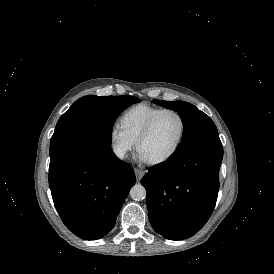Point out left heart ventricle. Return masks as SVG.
<instances>
[{"label":"left heart ventricle","mask_w":274,"mask_h":274,"mask_svg":"<svg viewBox=\"0 0 274 274\" xmlns=\"http://www.w3.org/2000/svg\"><path fill=\"white\" fill-rule=\"evenodd\" d=\"M179 131V117L174 113L164 114L151 133L141 142L139 153L146 162L165 157L173 148Z\"/></svg>","instance_id":"b2bd125f"}]
</instances>
